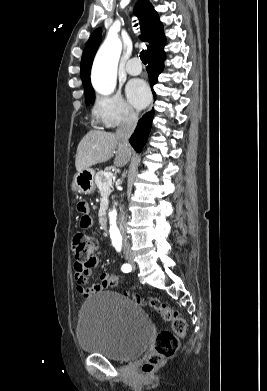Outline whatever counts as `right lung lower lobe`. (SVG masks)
<instances>
[{
  "instance_id": "right-lung-lower-lobe-1",
  "label": "right lung lower lobe",
  "mask_w": 267,
  "mask_h": 391,
  "mask_svg": "<svg viewBox=\"0 0 267 391\" xmlns=\"http://www.w3.org/2000/svg\"><path fill=\"white\" fill-rule=\"evenodd\" d=\"M163 48L152 54L148 58L149 65L147 67V72L149 75L151 88L157 83L158 75L163 71L164 68L163 62L165 60V51L163 50ZM152 92L153 94H155L153 89ZM153 115V110L144 114L143 117L139 120L135 132L130 138V143L137 152H140L145 145L147 136L151 128Z\"/></svg>"
}]
</instances>
